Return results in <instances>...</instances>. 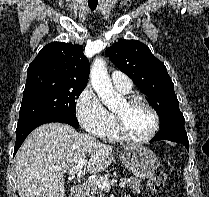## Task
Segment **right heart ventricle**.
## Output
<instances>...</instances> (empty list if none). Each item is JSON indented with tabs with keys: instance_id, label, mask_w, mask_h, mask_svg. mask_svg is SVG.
<instances>
[{
	"instance_id": "e07e8e85",
	"label": "right heart ventricle",
	"mask_w": 209,
	"mask_h": 197,
	"mask_svg": "<svg viewBox=\"0 0 209 197\" xmlns=\"http://www.w3.org/2000/svg\"><path fill=\"white\" fill-rule=\"evenodd\" d=\"M110 140H117L119 138L116 128H115V122L113 118V122L109 130L107 131L106 135Z\"/></svg>"
}]
</instances>
